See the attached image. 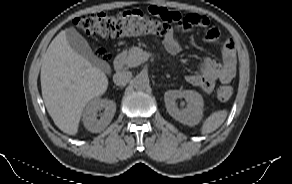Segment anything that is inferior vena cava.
Segmentation results:
<instances>
[{"mask_svg":"<svg viewBox=\"0 0 292 184\" xmlns=\"http://www.w3.org/2000/svg\"><path fill=\"white\" fill-rule=\"evenodd\" d=\"M132 74L130 71H118L113 75V82L117 86H125L131 79Z\"/></svg>","mask_w":292,"mask_h":184,"instance_id":"602c4592","label":"inferior vena cava"}]
</instances>
